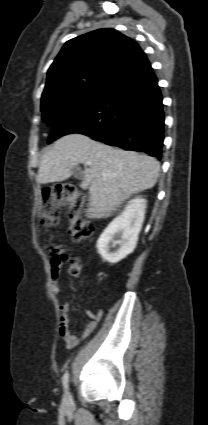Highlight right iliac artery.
<instances>
[{
	"instance_id": "obj_1",
	"label": "right iliac artery",
	"mask_w": 208,
	"mask_h": 425,
	"mask_svg": "<svg viewBox=\"0 0 208 425\" xmlns=\"http://www.w3.org/2000/svg\"><path fill=\"white\" fill-rule=\"evenodd\" d=\"M68 381H69V373L66 372L62 377V383H63V386H64L66 392H67V389H68ZM67 394H69V393L67 392Z\"/></svg>"
}]
</instances>
